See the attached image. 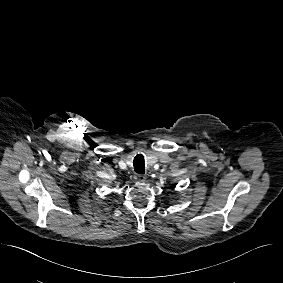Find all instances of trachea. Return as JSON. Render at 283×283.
Returning <instances> with one entry per match:
<instances>
[{"instance_id": "3493384b", "label": "trachea", "mask_w": 283, "mask_h": 283, "mask_svg": "<svg viewBox=\"0 0 283 283\" xmlns=\"http://www.w3.org/2000/svg\"><path fill=\"white\" fill-rule=\"evenodd\" d=\"M134 171L139 174L145 173V163H144V157L141 154H138L133 161Z\"/></svg>"}]
</instances>
